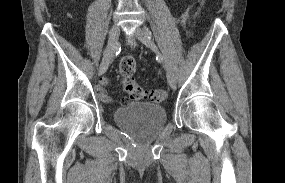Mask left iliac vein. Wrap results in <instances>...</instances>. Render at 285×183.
<instances>
[{"instance_id": "1", "label": "left iliac vein", "mask_w": 285, "mask_h": 183, "mask_svg": "<svg viewBox=\"0 0 285 183\" xmlns=\"http://www.w3.org/2000/svg\"><path fill=\"white\" fill-rule=\"evenodd\" d=\"M134 35L139 41H141L143 44H145L151 50H153L159 54V56L161 57V60L163 61L164 68L166 70L168 83L172 89H175L176 88V77H175L174 73L172 72L170 66L168 65L167 61L165 60L164 56L159 52L156 44L149 38L148 34L146 32H144L139 27L135 29Z\"/></svg>"}]
</instances>
